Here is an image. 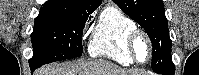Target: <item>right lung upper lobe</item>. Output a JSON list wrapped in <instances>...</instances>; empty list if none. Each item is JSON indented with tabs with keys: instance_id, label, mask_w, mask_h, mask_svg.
<instances>
[{
	"instance_id": "obj_1",
	"label": "right lung upper lobe",
	"mask_w": 199,
	"mask_h": 75,
	"mask_svg": "<svg viewBox=\"0 0 199 75\" xmlns=\"http://www.w3.org/2000/svg\"><path fill=\"white\" fill-rule=\"evenodd\" d=\"M102 0H48L41 9H58L82 15H90Z\"/></svg>"
}]
</instances>
